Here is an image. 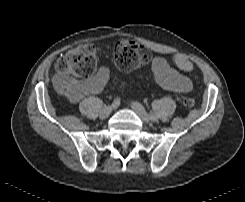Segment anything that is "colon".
Segmentation results:
<instances>
[{
  "instance_id": "1",
  "label": "colon",
  "mask_w": 245,
  "mask_h": 202,
  "mask_svg": "<svg viewBox=\"0 0 245 202\" xmlns=\"http://www.w3.org/2000/svg\"><path fill=\"white\" fill-rule=\"evenodd\" d=\"M114 60L117 67L129 72L144 67L150 60L149 50L130 38L119 40L114 47ZM189 70L187 64L182 65ZM97 67V57L90 44L76 46L59 57L55 64L57 82L63 93L71 92L75 87V79L91 76ZM186 107H194L196 100L187 97L183 100Z\"/></svg>"
}]
</instances>
